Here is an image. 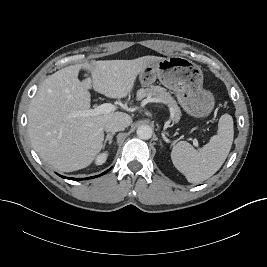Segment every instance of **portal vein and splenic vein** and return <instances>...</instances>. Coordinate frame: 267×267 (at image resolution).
<instances>
[{
	"label": "portal vein and splenic vein",
	"mask_w": 267,
	"mask_h": 267,
	"mask_svg": "<svg viewBox=\"0 0 267 267\" xmlns=\"http://www.w3.org/2000/svg\"><path fill=\"white\" fill-rule=\"evenodd\" d=\"M114 110H116L115 105H113L111 103H104V104L99 105L95 109L83 111L80 113V115L83 117L95 116V115H99V114H107V113L113 112ZM194 145H195V147L199 148L197 140L194 141Z\"/></svg>",
	"instance_id": "18ae733b"
}]
</instances>
